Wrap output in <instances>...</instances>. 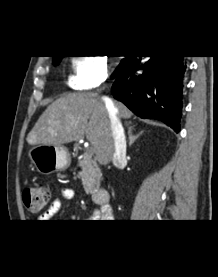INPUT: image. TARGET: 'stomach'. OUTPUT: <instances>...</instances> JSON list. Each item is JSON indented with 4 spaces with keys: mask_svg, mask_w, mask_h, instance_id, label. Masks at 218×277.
<instances>
[{
    "mask_svg": "<svg viewBox=\"0 0 218 277\" xmlns=\"http://www.w3.org/2000/svg\"><path fill=\"white\" fill-rule=\"evenodd\" d=\"M28 156L35 169L41 174L62 171L70 166L71 158L64 146L40 144L31 148Z\"/></svg>",
    "mask_w": 218,
    "mask_h": 277,
    "instance_id": "0dacf381",
    "label": "stomach"
}]
</instances>
